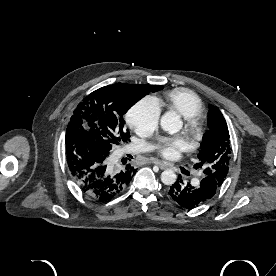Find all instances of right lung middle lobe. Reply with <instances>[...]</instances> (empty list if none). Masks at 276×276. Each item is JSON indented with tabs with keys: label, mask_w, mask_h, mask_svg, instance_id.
I'll return each instance as SVG.
<instances>
[{
	"label": "right lung middle lobe",
	"mask_w": 276,
	"mask_h": 276,
	"mask_svg": "<svg viewBox=\"0 0 276 276\" xmlns=\"http://www.w3.org/2000/svg\"><path fill=\"white\" fill-rule=\"evenodd\" d=\"M161 89L160 85L116 83L95 90L74 110L66 130V142L81 135L108 156L114 144L129 140L123 115L145 95Z\"/></svg>",
	"instance_id": "1"
}]
</instances>
